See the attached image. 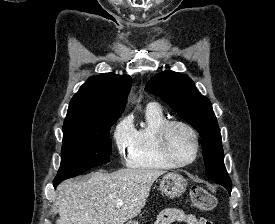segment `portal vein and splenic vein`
<instances>
[{"label":"portal vein and splenic vein","instance_id":"18ae733b","mask_svg":"<svg viewBox=\"0 0 275 224\" xmlns=\"http://www.w3.org/2000/svg\"><path fill=\"white\" fill-rule=\"evenodd\" d=\"M124 204L122 200L117 201L116 206L119 208Z\"/></svg>","mask_w":275,"mask_h":224}]
</instances>
